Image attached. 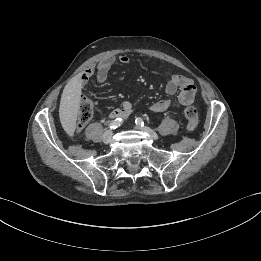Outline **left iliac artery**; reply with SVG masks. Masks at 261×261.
<instances>
[{"instance_id":"left-iliac-artery-1","label":"left iliac artery","mask_w":261,"mask_h":261,"mask_svg":"<svg viewBox=\"0 0 261 261\" xmlns=\"http://www.w3.org/2000/svg\"><path fill=\"white\" fill-rule=\"evenodd\" d=\"M135 123H136L138 126H142V127L144 126V121H143V119L140 118V117L136 118Z\"/></svg>"}]
</instances>
